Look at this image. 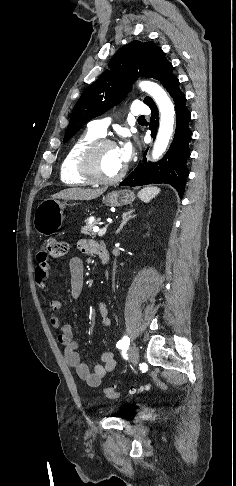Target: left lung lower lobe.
I'll return each instance as SVG.
<instances>
[{
  "mask_svg": "<svg viewBox=\"0 0 236 486\" xmlns=\"http://www.w3.org/2000/svg\"><path fill=\"white\" fill-rule=\"evenodd\" d=\"M173 98L176 110V133L169 151L159 162L147 163L146 153L141 163L120 185L122 186H140L152 183H165L172 185L179 193L180 198L183 196L188 169L186 166L187 159L190 156L189 141L192 132L188 123L191 114L186 107L185 94L179 89V80L176 77L170 79L164 86ZM151 108L152 123L149 129L152 136H156L158 109L152 101L148 104Z\"/></svg>",
  "mask_w": 236,
  "mask_h": 486,
  "instance_id": "obj_1",
  "label": "left lung lower lobe"
}]
</instances>
